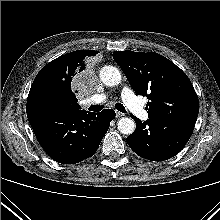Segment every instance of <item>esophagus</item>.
Masks as SVG:
<instances>
[{
  "label": "esophagus",
  "instance_id": "obj_1",
  "mask_svg": "<svg viewBox=\"0 0 220 220\" xmlns=\"http://www.w3.org/2000/svg\"><path fill=\"white\" fill-rule=\"evenodd\" d=\"M124 114L122 112L116 111V117H122Z\"/></svg>",
  "mask_w": 220,
  "mask_h": 220
}]
</instances>
